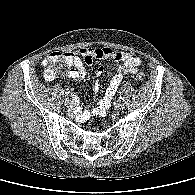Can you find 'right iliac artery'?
Here are the masks:
<instances>
[{"mask_svg": "<svg viewBox=\"0 0 195 195\" xmlns=\"http://www.w3.org/2000/svg\"><path fill=\"white\" fill-rule=\"evenodd\" d=\"M65 94H66V95H70V92H69V91H66Z\"/></svg>", "mask_w": 195, "mask_h": 195, "instance_id": "1", "label": "right iliac artery"}]
</instances>
